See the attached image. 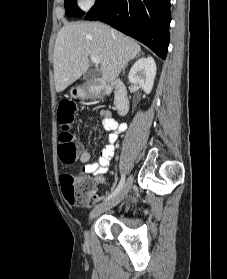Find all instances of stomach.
<instances>
[{
	"instance_id": "obj_1",
	"label": "stomach",
	"mask_w": 227,
	"mask_h": 279,
	"mask_svg": "<svg viewBox=\"0 0 227 279\" xmlns=\"http://www.w3.org/2000/svg\"><path fill=\"white\" fill-rule=\"evenodd\" d=\"M71 94L72 95H75V93H72L71 92ZM86 92L85 91H83V90H80V91H78V93H77V96H80V97H85L86 96Z\"/></svg>"
}]
</instances>
